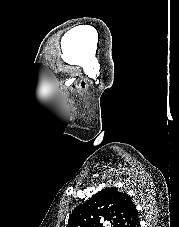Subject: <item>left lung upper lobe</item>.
Here are the masks:
<instances>
[{
    "mask_svg": "<svg viewBox=\"0 0 179 227\" xmlns=\"http://www.w3.org/2000/svg\"><path fill=\"white\" fill-rule=\"evenodd\" d=\"M138 212L128 194L106 188L79 205L66 227H139Z\"/></svg>",
    "mask_w": 179,
    "mask_h": 227,
    "instance_id": "5c2ea615",
    "label": "left lung upper lobe"
}]
</instances>
